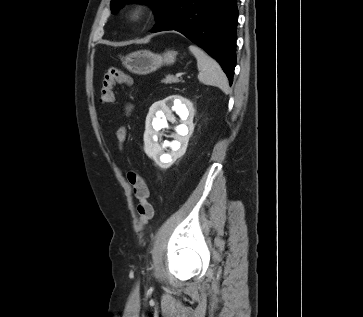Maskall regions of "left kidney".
I'll use <instances>...</instances> for the list:
<instances>
[{
  "mask_svg": "<svg viewBox=\"0 0 363 317\" xmlns=\"http://www.w3.org/2000/svg\"><path fill=\"white\" fill-rule=\"evenodd\" d=\"M172 110L180 116L181 124L175 127L176 134L172 135L175 140L160 145L157 142L162 136L160 130L168 126L167 120H175ZM194 111L192 102L179 95L169 96L151 106L146 119L144 150L161 168L170 167L186 152L189 138L194 130ZM167 146L171 147L172 152L164 154L163 148Z\"/></svg>",
  "mask_w": 363,
  "mask_h": 317,
  "instance_id": "obj_1",
  "label": "left kidney"
}]
</instances>
